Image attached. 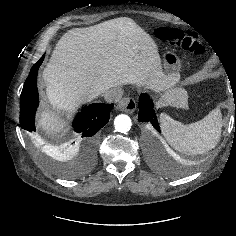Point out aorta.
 Here are the masks:
<instances>
[{"label":"aorta","instance_id":"aorta-1","mask_svg":"<svg viewBox=\"0 0 236 236\" xmlns=\"http://www.w3.org/2000/svg\"><path fill=\"white\" fill-rule=\"evenodd\" d=\"M131 126V118L126 114H120L114 120V127L118 132H128L131 129Z\"/></svg>","mask_w":236,"mask_h":236}]
</instances>
